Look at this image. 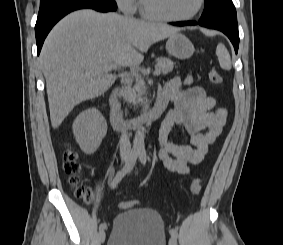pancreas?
<instances>
[{"instance_id":"1","label":"pancreas","mask_w":283,"mask_h":245,"mask_svg":"<svg viewBox=\"0 0 283 245\" xmlns=\"http://www.w3.org/2000/svg\"><path fill=\"white\" fill-rule=\"evenodd\" d=\"M174 63L169 58H158L156 68L160 70L163 74H167L173 70ZM146 95V88L144 81L141 79L136 80V84L131 88L129 85L127 88L126 96L130 103L134 105L139 103H144Z\"/></svg>"}]
</instances>
